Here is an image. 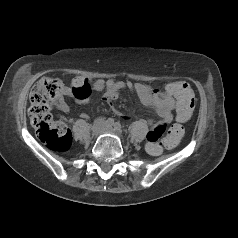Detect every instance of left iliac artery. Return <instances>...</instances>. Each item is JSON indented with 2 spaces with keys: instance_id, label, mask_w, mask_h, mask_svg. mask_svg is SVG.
Returning <instances> with one entry per match:
<instances>
[{
  "instance_id": "left-iliac-artery-1",
  "label": "left iliac artery",
  "mask_w": 238,
  "mask_h": 238,
  "mask_svg": "<svg viewBox=\"0 0 238 238\" xmlns=\"http://www.w3.org/2000/svg\"><path fill=\"white\" fill-rule=\"evenodd\" d=\"M114 128H115V130H117L118 132H121V124H120L119 122H116V123L114 124Z\"/></svg>"
}]
</instances>
